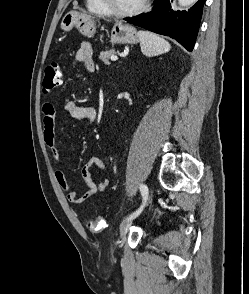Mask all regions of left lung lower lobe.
<instances>
[{
  "label": "left lung lower lobe",
  "instance_id": "left-lung-lower-lobe-1",
  "mask_svg": "<svg viewBox=\"0 0 249 294\" xmlns=\"http://www.w3.org/2000/svg\"><path fill=\"white\" fill-rule=\"evenodd\" d=\"M172 0H155V6L147 14L125 20L158 34L170 36L192 51L198 34L205 0L198 2L186 11L174 12Z\"/></svg>",
  "mask_w": 249,
  "mask_h": 294
}]
</instances>
